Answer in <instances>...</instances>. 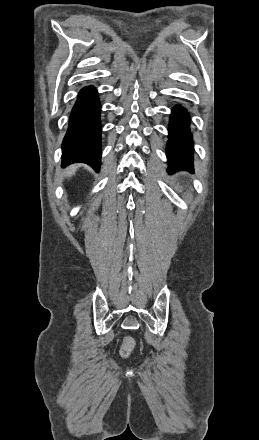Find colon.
<instances>
[{"label":"colon","instance_id":"1","mask_svg":"<svg viewBox=\"0 0 259 440\" xmlns=\"http://www.w3.org/2000/svg\"><path fill=\"white\" fill-rule=\"evenodd\" d=\"M134 346H135L134 339L131 338V337H126L123 340V344H122V347L120 349L121 357L128 358L131 355V353H132V351L134 349Z\"/></svg>","mask_w":259,"mask_h":440}]
</instances>
